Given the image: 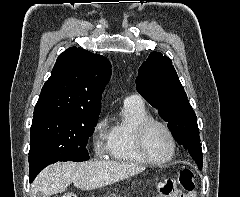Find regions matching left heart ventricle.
Returning a JSON list of instances; mask_svg holds the SVG:
<instances>
[{"label":"left heart ventricle","mask_w":240,"mask_h":197,"mask_svg":"<svg viewBox=\"0 0 240 197\" xmlns=\"http://www.w3.org/2000/svg\"><path fill=\"white\" fill-rule=\"evenodd\" d=\"M145 146L149 155L156 160L166 159L171 154V141L159 125H152L145 134Z\"/></svg>","instance_id":"b2bd125f"}]
</instances>
